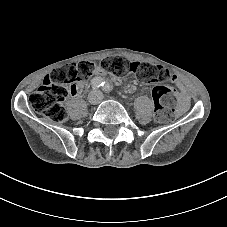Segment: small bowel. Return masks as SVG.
Returning a JSON list of instances; mask_svg holds the SVG:
<instances>
[{
  "mask_svg": "<svg viewBox=\"0 0 227 227\" xmlns=\"http://www.w3.org/2000/svg\"><path fill=\"white\" fill-rule=\"evenodd\" d=\"M94 72H95V74H97V75H99V76H100V75H104V74L106 73V71H104L103 69H101L100 66H95ZM172 81H173L174 83H176V84L180 87V89H181L180 102H181L182 104H185L186 101H187V94H186V92L184 91V89H183L181 83L179 82L178 77H177L176 75H173ZM81 90H82V86L79 85L77 91H76L75 93H73V95H76V94L80 93Z\"/></svg>",
  "mask_w": 227,
  "mask_h": 227,
  "instance_id": "obj_1",
  "label": "small bowel"
}]
</instances>
